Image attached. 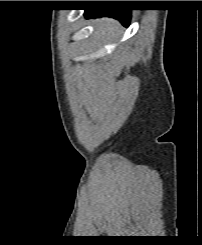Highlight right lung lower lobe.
Returning <instances> with one entry per match:
<instances>
[{
  "label": "right lung lower lobe",
  "mask_w": 202,
  "mask_h": 245,
  "mask_svg": "<svg viewBox=\"0 0 202 245\" xmlns=\"http://www.w3.org/2000/svg\"><path fill=\"white\" fill-rule=\"evenodd\" d=\"M86 17H113L118 19L123 25L128 26L130 23L131 13L130 10H121V9H91L85 10Z\"/></svg>",
  "instance_id": "98d812e1"
}]
</instances>
